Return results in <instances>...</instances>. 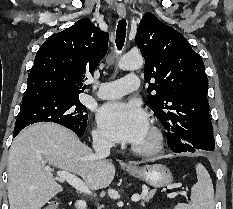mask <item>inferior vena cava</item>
Returning a JSON list of instances; mask_svg holds the SVG:
<instances>
[{
    "instance_id": "inferior-vena-cava-1",
    "label": "inferior vena cava",
    "mask_w": 233,
    "mask_h": 209,
    "mask_svg": "<svg viewBox=\"0 0 233 209\" xmlns=\"http://www.w3.org/2000/svg\"><path fill=\"white\" fill-rule=\"evenodd\" d=\"M113 143L101 136H94L93 137V149L95 150L96 154L99 157H107L110 155V148L112 147Z\"/></svg>"
}]
</instances>
